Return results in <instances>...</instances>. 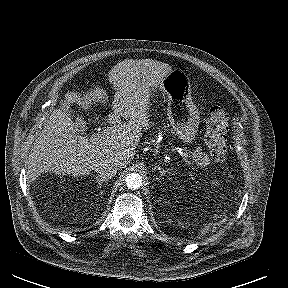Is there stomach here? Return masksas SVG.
<instances>
[{"label":"stomach","mask_w":288,"mask_h":288,"mask_svg":"<svg viewBox=\"0 0 288 288\" xmlns=\"http://www.w3.org/2000/svg\"><path fill=\"white\" fill-rule=\"evenodd\" d=\"M159 89L168 99V118L175 135L183 143H192L200 116L192 101L189 77L180 70L172 69L161 81Z\"/></svg>","instance_id":"0dacf381"}]
</instances>
